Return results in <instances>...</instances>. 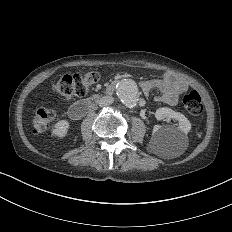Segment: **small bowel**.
Segmentation results:
<instances>
[{
	"label": "small bowel",
	"instance_id": "small-bowel-1",
	"mask_svg": "<svg viewBox=\"0 0 232 232\" xmlns=\"http://www.w3.org/2000/svg\"><path fill=\"white\" fill-rule=\"evenodd\" d=\"M140 88L144 94H149L154 88L160 90L158 99L161 102L175 103L179 95L187 88V83L173 75H165L160 80H142Z\"/></svg>",
	"mask_w": 232,
	"mask_h": 232
}]
</instances>
